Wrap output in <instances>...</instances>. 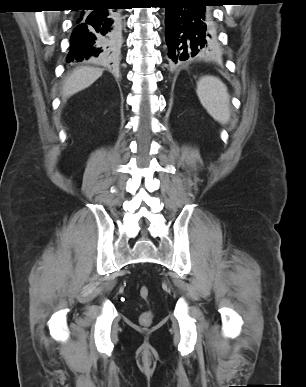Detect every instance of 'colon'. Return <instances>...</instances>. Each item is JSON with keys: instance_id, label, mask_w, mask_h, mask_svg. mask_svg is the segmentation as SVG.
Returning a JSON list of instances; mask_svg holds the SVG:
<instances>
[{"instance_id": "1", "label": "colon", "mask_w": 306, "mask_h": 387, "mask_svg": "<svg viewBox=\"0 0 306 387\" xmlns=\"http://www.w3.org/2000/svg\"><path fill=\"white\" fill-rule=\"evenodd\" d=\"M139 295L143 300H148L150 296V290L146 285H142L139 288ZM153 321V313L151 311L143 312L139 317V323L143 327H149Z\"/></svg>"}]
</instances>
